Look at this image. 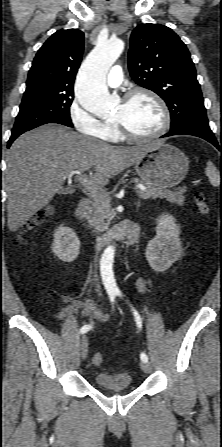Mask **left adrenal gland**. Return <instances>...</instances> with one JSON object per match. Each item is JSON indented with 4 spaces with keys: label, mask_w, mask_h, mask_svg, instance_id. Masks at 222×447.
Masks as SVG:
<instances>
[{
    "label": "left adrenal gland",
    "mask_w": 222,
    "mask_h": 447,
    "mask_svg": "<svg viewBox=\"0 0 222 447\" xmlns=\"http://www.w3.org/2000/svg\"><path fill=\"white\" fill-rule=\"evenodd\" d=\"M139 206H140V202L138 201V202H137V207H139Z\"/></svg>",
    "instance_id": "a2214340"
}]
</instances>
